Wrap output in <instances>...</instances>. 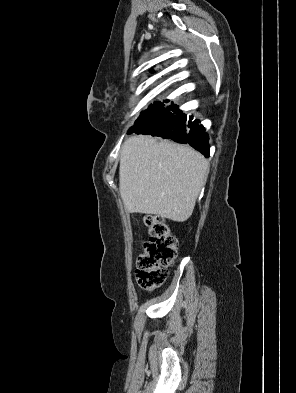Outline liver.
<instances>
[{
  "label": "liver",
  "mask_w": 296,
  "mask_h": 393,
  "mask_svg": "<svg viewBox=\"0 0 296 393\" xmlns=\"http://www.w3.org/2000/svg\"><path fill=\"white\" fill-rule=\"evenodd\" d=\"M209 162L188 146L140 135L121 149L119 190L130 213L184 222L205 185Z\"/></svg>",
  "instance_id": "liver-1"
}]
</instances>
